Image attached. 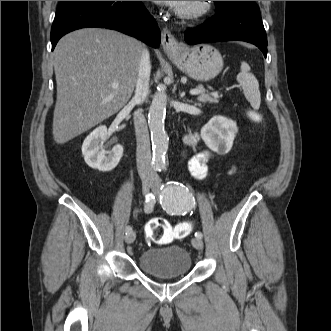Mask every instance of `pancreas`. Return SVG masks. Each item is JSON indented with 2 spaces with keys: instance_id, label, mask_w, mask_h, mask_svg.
Returning a JSON list of instances; mask_svg holds the SVG:
<instances>
[{
  "instance_id": "1",
  "label": "pancreas",
  "mask_w": 331,
  "mask_h": 331,
  "mask_svg": "<svg viewBox=\"0 0 331 331\" xmlns=\"http://www.w3.org/2000/svg\"><path fill=\"white\" fill-rule=\"evenodd\" d=\"M198 89L201 90V93L197 97L198 102H200V103H206V102L218 103L219 102V100H218L219 96L218 95L217 96H211L210 94H208L206 92V90L203 87H199Z\"/></svg>"
}]
</instances>
